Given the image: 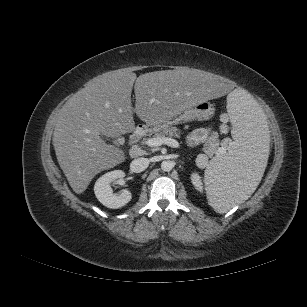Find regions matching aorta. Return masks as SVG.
Returning a JSON list of instances; mask_svg holds the SVG:
<instances>
[{
    "label": "aorta",
    "instance_id": "1",
    "mask_svg": "<svg viewBox=\"0 0 307 307\" xmlns=\"http://www.w3.org/2000/svg\"><path fill=\"white\" fill-rule=\"evenodd\" d=\"M174 164L170 160H165L161 163V169L165 172H169L173 169Z\"/></svg>",
    "mask_w": 307,
    "mask_h": 307
}]
</instances>
